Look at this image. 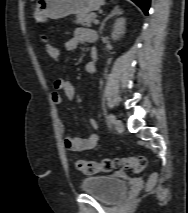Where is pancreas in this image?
Instances as JSON below:
<instances>
[{
    "instance_id": "1",
    "label": "pancreas",
    "mask_w": 188,
    "mask_h": 213,
    "mask_svg": "<svg viewBox=\"0 0 188 213\" xmlns=\"http://www.w3.org/2000/svg\"><path fill=\"white\" fill-rule=\"evenodd\" d=\"M95 18V13L81 14L76 16V20L74 22L78 25L90 26L91 23L94 22Z\"/></svg>"
}]
</instances>
